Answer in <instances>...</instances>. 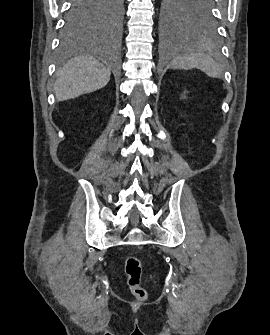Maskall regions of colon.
Listing matches in <instances>:
<instances>
[{
	"instance_id": "obj_1",
	"label": "colon",
	"mask_w": 270,
	"mask_h": 335,
	"mask_svg": "<svg viewBox=\"0 0 270 335\" xmlns=\"http://www.w3.org/2000/svg\"><path fill=\"white\" fill-rule=\"evenodd\" d=\"M124 270L126 274L127 286L131 293L138 299H143L147 291L142 285V263L139 257L129 255L124 259Z\"/></svg>"
}]
</instances>
